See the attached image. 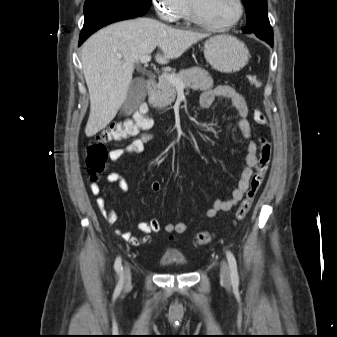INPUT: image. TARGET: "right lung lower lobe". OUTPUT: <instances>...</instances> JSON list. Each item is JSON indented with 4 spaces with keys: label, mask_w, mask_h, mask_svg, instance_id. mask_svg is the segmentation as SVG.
I'll list each match as a JSON object with an SVG mask.
<instances>
[{
    "label": "right lung lower lobe",
    "mask_w": 337,
    "mask_h": 337,
    "mask_svg": "<svg viewBox=\"0 0 337 337\" xmlns=\"http://www.w3.org/2000/svg\"><path fill=\"white\" fill-rule=\"evenodd\" d=\"M147 8H136L123 4H105L91 9L85 14L84 26L80 33L79 46L98 29L121 20L136 18L148 12Z\"/></svg>",
    "instance_id": "98d812e1"
}]
</instances>
